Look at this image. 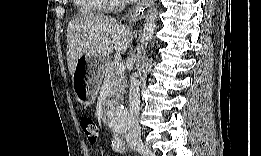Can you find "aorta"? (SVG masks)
<instances>
[{
	"label": "aorta",
	"mask_w": 261,
	"mask_h": 156,
	"mask_svg": "<svg viewBox=\"0 0 261 156\" xmlns=\"http://www.w3.org/2000/svg\"><path fill=\"white\" fill-rule=\"evenodd\" d=\"M156 19V9L151 10L146 17L141 37V43L145 47L148 46V43L152 40V37L154 35L156 29ZM108 125L111 130L117 135L125 133L130 128L131 116L124 108V106L119 105L111 108L108 113Z\"/></svg>",
	"instance_id": "762f6f07"
}]
</instances>
